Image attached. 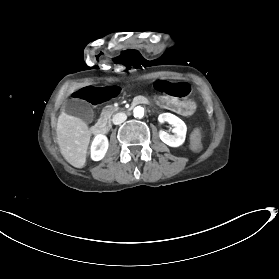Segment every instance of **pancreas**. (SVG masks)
<instances>
[{"label": "pancreas", "mask_w": 279, "mask_h": 279, "mask_svg": "<svg viewBox=\"0 0 279 279\" xmlns=\"http://www.w3.org/2000/svg\"><path fill=\"white\" fill-rule=\"evenodd\" d=\"M117 111H118V107H115V106H112V105H108V106L103 108L99 120L103 119V120L107 121Z\"/></svg>", "instance_id": "pancreas-1"}]
</instances>
